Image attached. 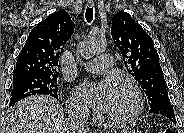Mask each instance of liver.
<instances>
[{
    "mask_svg": "<svg viewBox=\"0 0 184 133\" xmlns=\"http://www.w3.org/2000/svg\"><path fill=\"white\" fill-rule=\"evenodd\" d=\"M4 133H71L61 105L52 97L35 95L8 112Z\"/></svg>",
    "mask_w": 184,
    "mask_h": 133,
    "instance_id": "1",
    "label": "liver"
}]
</instances>
